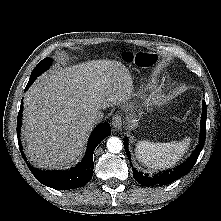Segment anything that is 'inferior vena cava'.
Listing matches in <instances>:
<instances>
[{"mask_svg": "<svg viewBox=\"0 0 221 221\" xmlns=\"http://www.w3.org/2000/svg\"><path fill=\"white\" fill-rule=\"evenodd\" d=\"M102 118H103V113L101 111H96L89 117L88 122L91 126H94L95 124L100 122Z\"/></svg>", "mask_w": 221, "mask_h": 221, "instance_id": "1", "label": "inferior vena cava"}]
</instances>
